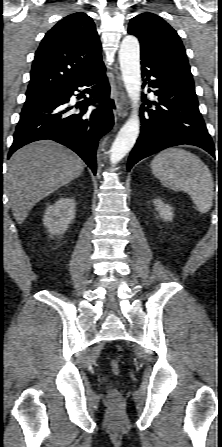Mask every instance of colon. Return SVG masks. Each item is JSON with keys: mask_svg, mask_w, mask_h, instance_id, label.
I'll list each match as a JSON object with an SVG mask.
<instances>
[{"mask_svg": "<svg viewBox=\"0 0 222 447\" xmlns=\"http://www.w3.org/2000/svg\"><path fill=\"white\" fill-rule=\"evenodd\" d=\"M110 366L114 374L117 375L120 373L119 364L116 360L111 361ZM108 400L113 404L118 403L121 400L120 392L117 389L110 390L108 393Z\"/></svg>", "mask_w": 222, "mask_h": 447, "instance_id": "1", "label": "colon"}]
</instances>
